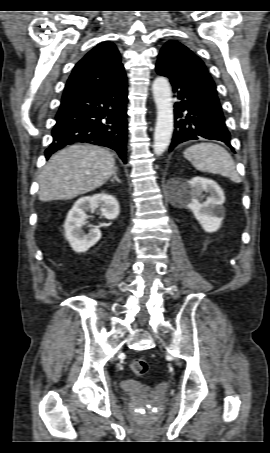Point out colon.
Instances as JSON below:
<instances>
[{"label":"colon","instance_id":"5ec220e1","mask_svg":"<svg viewBox=\"0 0 270 453\" xmlns=\"http://www.w3.org/2000/svg\"><path fill=\"white\" fill-rule=\"evenodd\" d=\"M131 369L136 375L143 376L148 372L149 365L145 359L138 358L132 361Z\"/></svg>","mask_w":270,"mask_h":453}]
</instances>
